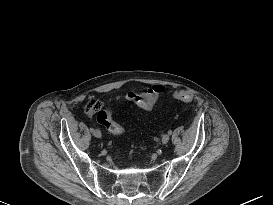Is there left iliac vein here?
<instances>
[{
	"mask_svg": "<svg viewBox=\"0 0 273 205\" xmlns=\"http://www.w3.org/2000/svg\"><path fill=\"white\" fill-rule=\"evenodd\" d=\"M169 135L168 134H164L163 137H162V143L163 144H167L169 142Z\"/></svg>",
	"mask_w": 273,
	"mask_h": 205,
	"instance_id": "1",
	"label": "left iliac vein"
}]
</instances>
